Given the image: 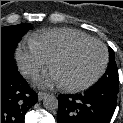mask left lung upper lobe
Returning a JSON list of instances; mask_svg holds the SVG:
<instances>
[{"mask_svg": "<svg viewBox=\"0 0 123 123\" xmlns=\"http://www.w3.org/2000/svg\"><path fill=\"white\" fill-rule=\"evenodd\" d=\"M98 86H111L119 88L118 86V71L115 63V53L112 48L109 47V65L105 74L101 79L95 84Z\"/></svg>", "mask_w": 123, "mask_h": 123, "instance_id": "left-lung-upper-lobe-1", "label": "left lung upper lobe"}]
</instances>
